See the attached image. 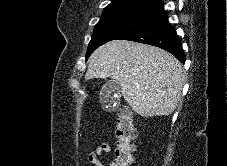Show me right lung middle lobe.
<instances>
[{
    "label": "right lung middle lobe",
    "instance_id": "right-lung-middle-lobe-1",
    "mask_svg": "<svg viewBox=\"0 0 227 166\" xmlns=\"http://www.w3.org/2000/svg\"><path fill=\"white\" fill-rule=\"evenodd\" d=\"M159 7L123 4L105 8L96 24L88 46L86 60L99 46L114 40L155 13Z\"/></svg>",
    "mask_w": 227,
    "mask_h": 166
}]
</instances>
